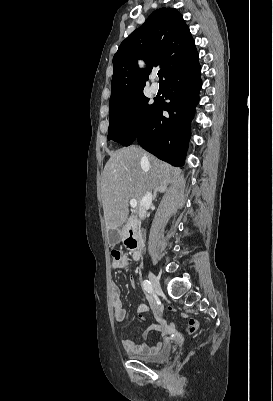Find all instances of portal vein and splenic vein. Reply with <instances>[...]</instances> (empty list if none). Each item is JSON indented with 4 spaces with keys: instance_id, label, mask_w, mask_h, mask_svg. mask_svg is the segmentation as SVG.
<instances>
[{
    "instance_id": "portal-vein-and-splenic-vein-1",
    "label": "portal vein and splenic vein",
    "mask_w": 273,
    "mask_h": 401,
    "mask_svg": "<svg viewBox=\"0 0 273 401\" xmlns=\"http://www.w3.org/2000/svg\"><path fill=\"white\" fill-rule=\"evenodd\" d=\"M130 207H137V201H136V198H131V201H130Z\"/></svg>"
}]
</instances>
